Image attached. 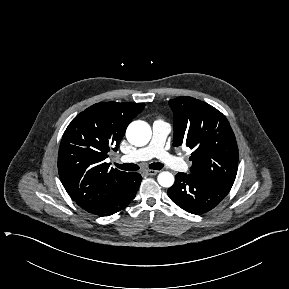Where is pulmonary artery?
<instances>
[{"label":"pulmonary artery","mask_w":289,"mask_h":289,"mask_svg":"<svg viewBox=\"0 0 289 289\" xmlns=\"http://www.w3.org/2000/svg\"><path fill=\"white\" fill-rule=\"evenodd\" d=\"M152 131V139L147 146L123 156L121 160L124 162H138L156 157L172 169L185 170L187 168L186 163L182 159L170 155L164 149L166 138L171 131L170 125L162 120H156L153 123Z\"/></svg>","instance_id":"obj_1"}]
</instances>
